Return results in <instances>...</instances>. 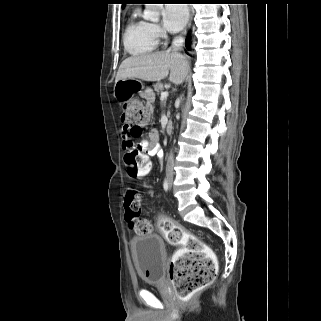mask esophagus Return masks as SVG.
<instances>
[{"mask_svg":"<svg viewBox=\"0 0 321 321\" xmlns=\"http://www.w3.org/2000/svg\"><path fill=\"white\" fill-rule=\"evenodd\" d=\"M192 15H193V9H192V7H190V20H189V24H188V29L191 26Z\"/></svg>","mask_w":321,"mask_h":321,"instance_id":"esophagus-1","label":"esophagus"}]
</instances>
